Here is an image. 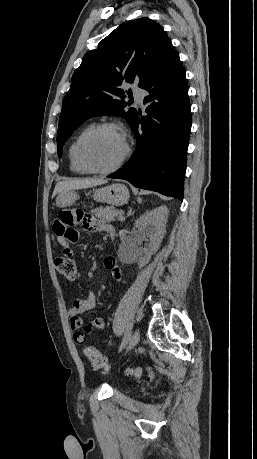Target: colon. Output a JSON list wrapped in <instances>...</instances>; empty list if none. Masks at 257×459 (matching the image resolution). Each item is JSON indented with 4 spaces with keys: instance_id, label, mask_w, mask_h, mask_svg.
I'll return each instance as SVG.
<instances>
[{
    "instance_id": "colon-1",
    "label": "colon",
    "mask_w": 257,
    "mask_h": 459,
    "mask_svg": "<svg viewBox=\"0 0 257 459\" xmlns=\"http://www.w3.org/2000/svg\"><path fill=\"white\" fill-rule=\"evenodd\" d=\"M55 268L57 272L65 277L74 278L76 275V262L70 258H65L64 254L55 259ZM85 355L92 364L94 369L106 370L109 367L107 358L95 347L87 346L85 348ZM149 376L152 375V368L147 369ZM130 375L141 376L143 371L141 369L129 370Z\"/></svg>"
}]
</instances>
